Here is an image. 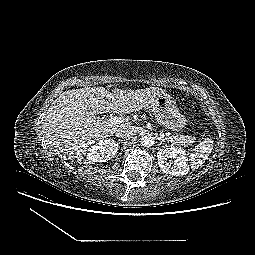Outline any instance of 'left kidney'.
I'll list each match as a JSON object with an SVG mask.
<instances>
[{
  "mask_svg": "<svg viewBox=\"0 0 255 255\" xmlns=\"http://www.w3.org/2000/svg\"><path fill=\"white\" fill-rule=\"evenodd\" d=\"M157 159L160 169L166 174L180 176L187 174L189 171L188 159L185 150L181 147L172 146L160 149L157 152Z\"/></svg>",
  "mask_w": 255,
  "mask_h": 255,
  "instance_id": "left-kidney-1",
  "label": "left kidney"
}]
</instances>
